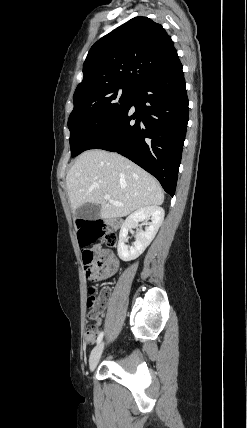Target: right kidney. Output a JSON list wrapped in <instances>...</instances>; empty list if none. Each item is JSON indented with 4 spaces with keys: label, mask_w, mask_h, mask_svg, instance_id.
Returning a JSON list of instances; mask_svg holds the SVG:
<instances>
[{
    "label": "right kidney",
    "mask_w": 247,
    "mask_h": 428,
    "mask_svg": "<svg viewBox=\"0 0 247 428\" xmlns=\"http://www.w3.org/2000/svg\"><path fill=\"white\" fill-rule=\"evenodd\" d=\"M164 219V210L158 206H148L141 208L127 217L121 227L118 242V256L123 261H131L139 257L149 244L154 239ZM151 220V222H149ZM143 222L145 230L140 228L135 235V242L132 246L128 247L125 242L127 241L128 231L132 227Z\"/></svg>",
    "instance_id": "ca27d5eb"
}]
</instances>
